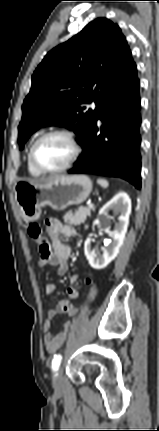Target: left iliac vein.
Masks as SVG:
<instances>
[{
    "mask_svg": "<svg viewBox=\"0 0 159 431\" xmlns=\"http://www.w3.org/2000/svg\"><path fill=\"white\" fill-rule=\"evenodd\" d=\"M64 378H63V370L60 368L53 377V386L55 391L60 392L63 389Z\"/></svg>",
    "mask_w": 159,
    "mask_h": 431,
    "instance_id": "left-iliac-vein-1",
    "label": "left iliac vein"
}]
</instances>
